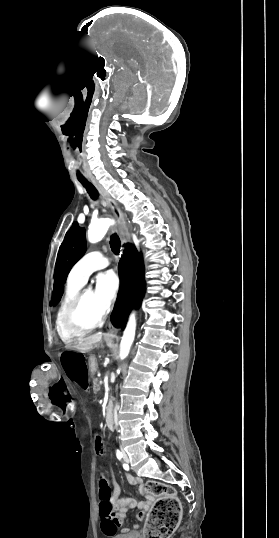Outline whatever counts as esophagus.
I'll return each instance as SVG.
<instances>
[{"label":"esophagus","mask_w":279,"mask_h":538,"mask_svg":"<svg viewBox=\"0 0 279 538\" xmlns=\"http://www.w3.org/2000/svg\"><path fill=\"white\" fill-rule=\"evenodd\" d=\"M92 181V183L95 185L97 190L100 192L103 200L105 201V204L111 208L116 220L118 221V232L121 238V242L123 244L130 241V233L128 231L125 218L119 208L118 203L113 200V198L109 195V193L105 190V188L102 187V185L93 177H89ZM117 336V330L113 328L111 325L108 326V330L105 333L104 337L105 339H112Z\"/></svg>","instance_id":"obj_1"}]
</instances>
